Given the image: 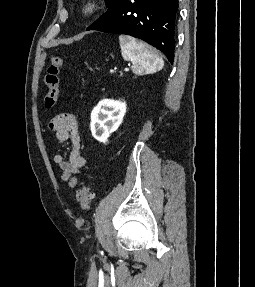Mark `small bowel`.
<instances>
[{"instance_id": "c3829d8e", "label": "small bowel", "mask_w": 255, "mask_h": 287, "mask_svg": "<svg viewBox=\"0 0 255 287\" xmlns=\"http://www.w3.org/2000/svg\"><path fill=\"white\" fill-rule=\"evenodd\" d=\"M48 128L55 134L58 141H69L71 144L68 159L64 154L58 153L54 155L53 160L62 171V180L67 182L69 187H74L77 183L75 175L86 165V160L81 154L78 120L72 113L61 112L50 120Z\"/></svg>"}]
</instances>
